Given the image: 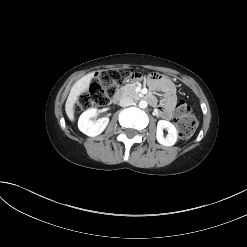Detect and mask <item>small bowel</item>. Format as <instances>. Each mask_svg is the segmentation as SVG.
Instances as JSON below:
<instances>
[{"instance_id":"c3829d8e","label":"small bowel","mask_w":247,"mask_h":247,"mask_svg":"<svg viewBox=\"0 0 247 247\" xmlns=\"http://www.w3.org/2000/svg\"><path fill=\"white\" fill-rule=\"evenodd\" d=\"M126 77L133 82H148L151 89L162 91L164 93V100L159 109V114L164 119H170L172 117L177 97L175 87L170 80L149 71L130 70L127 72ZM154 99V104H156V98L154 97Z\"/></svg>"}]
</instances>
